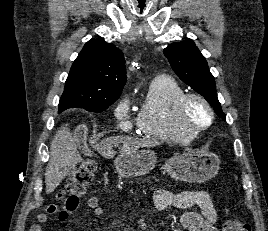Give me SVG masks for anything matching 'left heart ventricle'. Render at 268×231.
Here are the masks:
<instances>
[{
    "mask_svg": "<svg viewBox=\"0 0 268 231\" xmlns=\"http://www.w3.org/2000/svg\"><path fill=\"white\" fill-rule=\"evenodd\" d=\"M185 119L190 127H195L207 123L209 115L205 107L198 102H192L188 106Z\"/></svg>",
    "mask_w": 268,
    "mask_h": 231,
    "instance_id": "obj_1",
    "label": "left heart ventricle"
}]
</instances>
